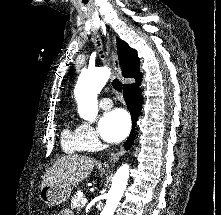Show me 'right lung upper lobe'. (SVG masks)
I'll return each instance as SVG.
<instances>
[{
    "label": "right lung upper lobe",
    "instance_id": "1",
    "mask_svg": "<svg viewBox=\"0 0 221 215\" xmlns=\"http://www.w3.org/2000/svg\"><path fill=\"white\" fill-rule=\"evenodd\" d=\"M117 48L123 76L135 78L136 80L140 79L142 74L139 73L140 60L137 56V52L119 38H117Z\"/></svg>",
    "mask_w": 221,
    "mask_h": 215
}]
</instances>
